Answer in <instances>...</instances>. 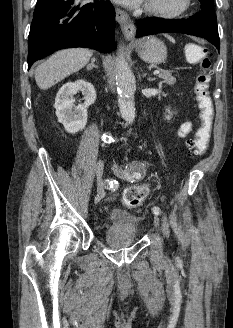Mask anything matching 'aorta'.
Wrapping results in <instances>:
<instances>
[{"label":"aorta","instance_id":"aorta-1","mask_svg":"<svg viewBox=\"0 0 233 328\" xmlns=\"http://www.w3.org/2000/svg\"><path fill=\"white\" fill-rule=\"evenodd\" d=\"M116 81L118 91V104L122 118L132 123L135 119V78L126 62L123 54V47H119L116 63Z\"/></svg>","mask_w":233,"mask_h":328}]
</instances>
